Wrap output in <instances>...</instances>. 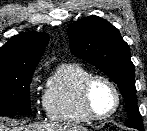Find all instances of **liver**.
I'll list each match as a JSON object with an SVG mask.
<instances>
[{"instance_id":"obj_1","label":"liver","mask_w":147,"mask_h":131,"mask_svg":"<svg viewBox=\"0 0 147 131\" xmlns=\"http://www.w3.org/2000/svg\"><path fill=\"white\" fill-rule=\"evenodd\" d=\"M0 131H87L85 127L65 123H35L28 126L8 128L0 118Z\"/></svg>"}]
</instances>
